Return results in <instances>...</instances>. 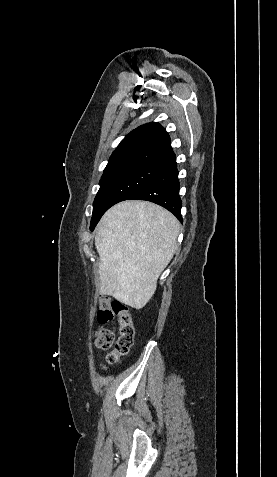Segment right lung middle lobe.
I'll list each match as a JSON object with an SVG mask.
<instances>
[{"instance_id": "1", "label": "right lung middle lobe", "mask_w": 277, "mask_h": 477, "mask_svg": "<svg viewBox=\"0 0 277 477\" xmlns=\"http://www.w3.org/2000/svg\"><path fill=\"white\" fill-rule=\"evenodd\" d=\"M160 170L156 167L129 165L104 172L100 189L93 203L90 229L93 230L101 216L114 204L128 200L145 186Z\"/></svg>"}]
</instances>
